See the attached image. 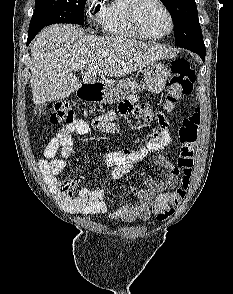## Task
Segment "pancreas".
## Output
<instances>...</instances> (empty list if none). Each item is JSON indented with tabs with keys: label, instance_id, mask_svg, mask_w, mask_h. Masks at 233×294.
Listing matches in <instances>:
<instances>
[{
	"label": "pancreas",
	"instance_id": "1",
	"mask_svg": "<svg viewBox=\"0 0 233 294\" xmlns=\"http://www.w3.org/2000/svg\"><path fill=\"white\" fill-rule=\"evenodd\" d=\"M128 99H130V100H138L139 97L137 95H135L134 92H133L132 94L128 95Z\"/></svg>",
	"mask_w": 233,
	"mask_h": 294
}]
</instances>
